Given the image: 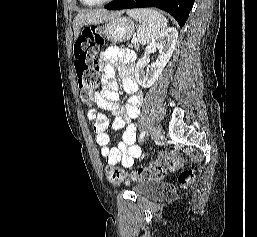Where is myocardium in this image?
Here are the masks:
<instances>
[{
	"instance_id": "f54148a6",
	"label": "myocardium",
	"mask_w": 257,
	"mask_h": 237,
	"mask_svg": "<svg viewBox=\"0 0 257 237\" xmlns=\"http://www.w3.org/2000/svg\"><path fill=\"white\" fill-rule=\"evenodd\" d=\"M83 4L87 5V6H101V5H105L108 4L114 0H103V1H99V2H89L87 0H81Z\"/></svg>"
}]
</instances>
